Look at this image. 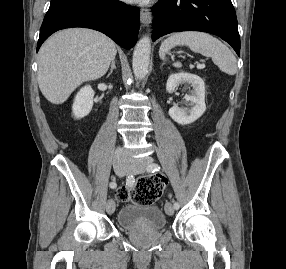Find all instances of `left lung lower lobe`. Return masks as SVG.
Listing matches in <instances>:
<instances>
[{"label":"left lung lower lobe","mask_w":286,"mask_h":269,"mask_svg":"<svg viewBox=\"0 0 286 269\" xmlns=\"http://www.w3.org/2000/svg\"><path fill=\"white\" fill-rule=\"evenodd\" d=\"M152 12L153 41L171 32L204 31L227 41L240 56L237 18L231 0H159Z\"/></svg>","instance_id":"0a47b994"}]
</instances>
